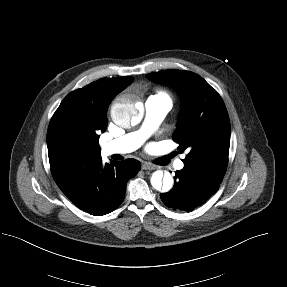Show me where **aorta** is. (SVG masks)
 <instances>
[{"label": "aorta", "instance_id": "obj_1", "mask_svg": "<svg viewBox=\"0 0 287 287\" xmlns=\"http://www.w3.org/2000/svg\"><path fill=\"white\" fill-rule=\"evenodd\" d=\"M142 107L136 96L128 95L121 98L111 107V118L121 127L136 125L141 120ZM152 187L157 191L168 192L173 187V177L169 172L155 171L150 179Z\"/></svg>", "mask_w": 287, "mask_h": 287}]
</instances>
